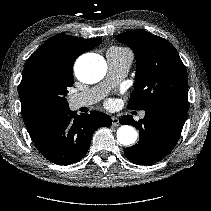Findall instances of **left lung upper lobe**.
<instances>
[{
	"instance_id": "obj_1",
	"label": "left lung upper lobe",
	"mask_w": 211,
	"mask_h": 211,
	"mask_svg": "<svg viewBox=\"0 0 211 211\" xmlns=\"http://www.w3.org/2000/svg\"><path fill=\"white\" fill-rule=\"evenodd\" d=\"M131 47L137 70L129 109H145L167 99L187 100V72L174 46L162 37L143 30H132L116 36Z\"/></svg>"
}]
</instances>
